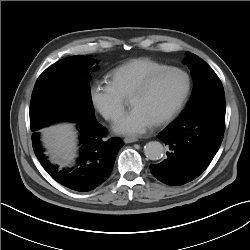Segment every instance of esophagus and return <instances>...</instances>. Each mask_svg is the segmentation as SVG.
<instances>
[{
  "instance_id": "1",
  "label": "esophagus",
  "mask_w": 250,
  "mask_h": 250,
  "mask_svg": "<svg viewBox=\"0 0 250 250\" xmlns=\"http://www.w3.org/2000/svg\"><path fill=\"white\" fill-rule=\"evenodd\" d=\"M136 141H138V139L134 138V137H126V138H124L125 143H133V142H136Z\"/></svg>"
}]
</instances>
